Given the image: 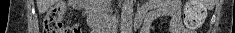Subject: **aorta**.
I'll return each mask as SVG.
<instances>
[{"label":"aorta","mask_w":235,"mask_h":33,"mask_svg":"<svg viewBox=\"0 0 235 33\" xmlns=\"http://www.w3.org/2000/svg\"><path fill=\"white\" fill-rule=\"evenodd\" d=\"M133 17V0H124L121 11V27L122 31L130 28Z\"/></svg>","instance_id":"obj_1"}]
</instances>
